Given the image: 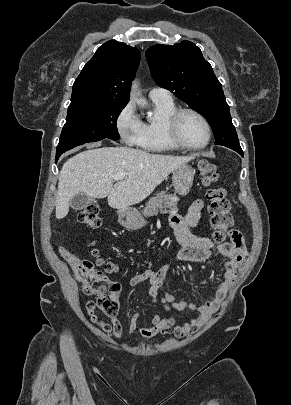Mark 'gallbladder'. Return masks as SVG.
I'll use <instances>...</instances> for the list:
<instances>
[{
	"label": "gallbladder",
	"mask_w": 291,
	"mask_h": 405,
	"mask_svg": "<svg viewBox=\"0 0 291 405\" xmlns=\"http://www.w3.org/2000/svg\"><path fill=\"white\" fill-rule=\"evenodd\" d=\"M96 202L97 201L94 198H92L84 193H80L72 198V200L70 201V206L74 210H81V209L85 208L86 206H88L89 204L96 203Z\"/></svg>",
	"instance_id": "bac80fb5"
}]
</instances>
